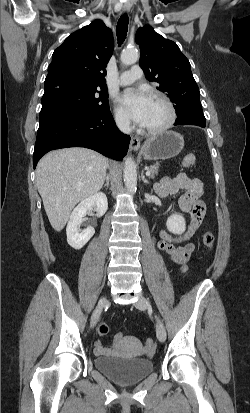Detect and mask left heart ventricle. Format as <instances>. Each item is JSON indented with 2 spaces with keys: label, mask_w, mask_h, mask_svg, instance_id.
Masks as SVG:
<instances>
[{
  "label": "left heart ventricle",
  "mask_w": 250,
  "mask_h": 413,
  "mask_svg": "<svg viewBox=\"0 0 250 413\" xmlns=\"http://www.w3.org/2000/svg\"><path fill=\"white\" fill-rule=\"evenodd\" d=\"M168 119V111L166 107L155 99H151L147 117L143 127L157 128L163 125Z\"/></svg>",
  "instance_id": "b2bd125f"
}]
</instances>
